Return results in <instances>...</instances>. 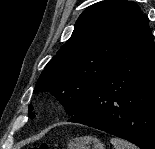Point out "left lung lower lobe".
<instances>
[{
  "label": "left lung lower lobe",
  "instance_id": "left-lung-lower-lobe-1",
  "mask_svg": "<svg viewBox=\"0 0 155 149\" xmlns=\"http://www.w3.org/2000/svg\"><path fill=\"white\" fill-rule=\"evenodd\" d=\"M68 122L155 149V45L143 15L112 65Z\"/></svg>",
  "mask_w": 155,
  "mask_h": 149
}]
</instances>
